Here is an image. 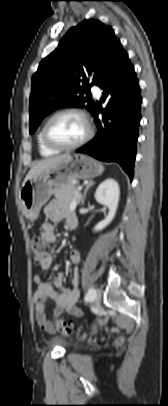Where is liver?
I'll return each mask as SVG.
<instances>
[{
	"instance_id": "6515ba94",
	"label": "liver",
	"mask_w": 168,
	"mask_h": 406,
	"mask_svg": "<svg viewBox=\"0 0 168 406\" xmlns=\"http://www.w3.org/2000/svg\"><path fill=\"white\" fill-rule=\"evenodd\" d=\"M70 157L69 154H63L55 157H50L43 159L41 161H38L35 163L30 171L28 172L24 182L27 180L33 178L36 175H39L41 173L49 172L50 170L56 168L60 164H62L64 161H66Z\"/></svg>"
}]
</instances>
